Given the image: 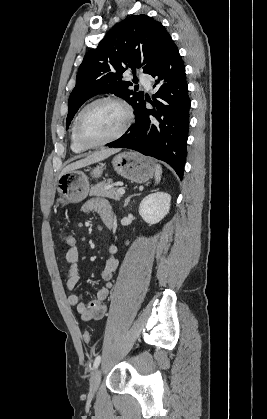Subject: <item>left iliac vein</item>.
Wrapping results in <instances>:
<instances>
[{
    "label": "left iliac vein",
    "instance_id": "4c4485c4",
    "mask_svg": "<svg viewBox=\"0 0 267 419\" xmlns=\"http://www.w3.org/2000/svg\"><path fill=\"white\" fill-rule=\"evenodd\" d=\"M101 369L98 368L96 369V371L94 372L91 381H90V394L94 395L99 387V383H100V378H101Z\"/></svg>",
    "mask_w": 267,
    "mask_h": 419
}]
</instances>
